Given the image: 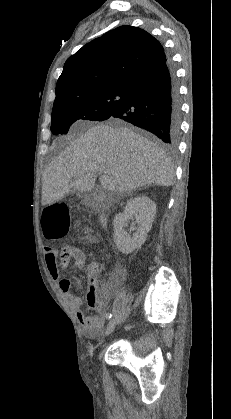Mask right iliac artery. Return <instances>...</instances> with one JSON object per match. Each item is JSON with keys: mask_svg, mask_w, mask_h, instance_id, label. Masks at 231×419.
<instances>
[{"mask_svg": "<svg viewBox=\"0 0 231 419\" xmlns=\"http://www.w3.org/2000/svg\"><path fill=\"white\" fill-rule=\"evenodd\" d=\"M111 317H112V314H111V313H110V314H109V313H108V314H106V318H107V319H110Z\"/></svg>", "mask_w": 231, "mask_h": 419, "instance_id": "right-iliac-artery-1", "label": "right iliac artery"}]
</instances>
